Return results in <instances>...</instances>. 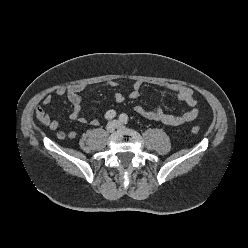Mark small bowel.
<instances>
[{"mask_svg": "<svg viewBox=\"0 0 248 248\" xmlns=\"http://www.w3.org/2000/svg\"><path fill=\"white\" fill-rule=\"evenodd\" d=\"M106 85L115 87L117 86V82L114 80H110L106 83ZM160 86L164 90L174 93L180 101L184 102L188 106V109L181 115H171L165 113L159 106L148 110L140 105H136L134 107V111L137 114L149 120L158 121L169 126H179L191 122L197 118L199 114L197 100L194 97V92L190 87L172 83L161 84ZM95 88L96 87L89 86L87 84H73L57 88L55 94L59 97L66 96L72 104L73 111L70 114L69 118L73 121L84 124L87 122V120L81 115L82 102L86 96H88L92 91L95 90ZM141 88L142 82L136 81L132 85V88L129 92V97L132 99L138 98L140 96ZM114 99L117 103H121L124 101V96L123 94L117 92L114 95ZM51 101L52 95L48 94L44 97L42 104L43 106H47L51 103ZM43 106L39 105L35 109V114L38 122L49 130H57L59 127V121L53 119ZM98 123L99 122L97 119H92L90 121V124L92 126H97ZM56 135L57 138L60 140H63L65 138L74 139L76 138L77 133L75 131H69L67 133H65L64 131H58Z\"/></svg>", "mask_w": 248, "mask_h": 248, "instance_id": "obj_1", "label": "small bowel"}]
</instances>
